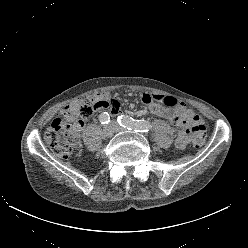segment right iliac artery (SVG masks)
<instances>
[{"mask_svg":"<svg viewBox=\"0 0 248 248\" xmlns=\"http://www.w3.org/2000/svg\"><path fill=\"white\" fill-rule=\"evenodd\" d=\"M99 121L101 124H108L110 122V116L107 112H103L99 115Z\"/></svg>","mask_w":248,"mask_h":248,"instance_id":"right-iliac-artery-1","label":"right iliac artery"}]
</instances>
